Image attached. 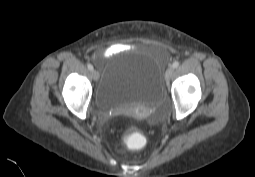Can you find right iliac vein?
<instances>
[{
  "mask_svg": "<svg viewBox=\"0 0 255 177\" xmlns=\"http://www.w3.org/2000/svg\"><path fill=\"white\" fill-rule=\"evenodd\" d=\"M92 78L97 81L99 79V73L96 70H92Z\"/></svg>",
  "mask_w": 255,
  "mask_h": 177,
  "instance_id": "63e3f726",
  "label": "right iliac vein"
}]
</instances>
